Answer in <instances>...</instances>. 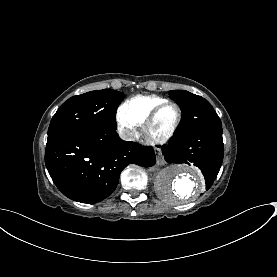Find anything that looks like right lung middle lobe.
Returning a JSON list of instances; mask_svg holds the SVG:
<instances>
[{
  "label": "right lung middle lobe",
  "instance_id": "dd1d6c3e",
  "mask_svg": "<svg viewBox=\"0 0 277 277\" xmlns=\"http://www.w3.org/2000/svg\"><path fill=\"white\" fill-rule=\"evenodd\" d=\"M124 96L122 92L104 89L71 97L53 116L47 140L94 128L116 129V110Z\"/></svg>",
  "mask_w": 277,
  "mask_h": 277
}]
</instances>
